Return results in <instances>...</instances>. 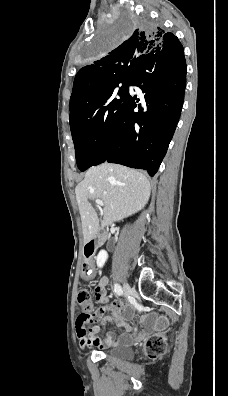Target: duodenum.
<instances>
[{"label": "duodenum", "mask_w": 228, "mask_h": 396, "mask_svg": "<svg viewBox=\"0 0 228 396\" xmlns=\"http://www.w3.org/2000/svg\"><path fill=\"white\" fill-rule=\"evenodd\" d=\"M106 239H107V235L104 233L89 238L85 244L84 253L88 254L91 257L94 251L102 244H104Z\"/></svg>", "instance_id": "duodenum-1"}]
</instances>
